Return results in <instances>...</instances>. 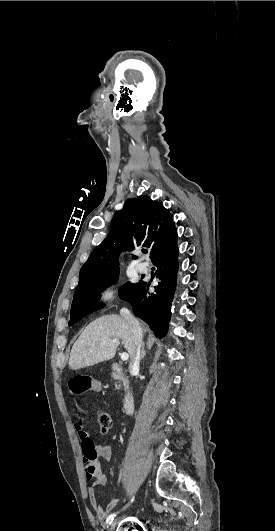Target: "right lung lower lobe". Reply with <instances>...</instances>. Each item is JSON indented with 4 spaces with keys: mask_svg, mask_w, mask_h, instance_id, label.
I'll use <instances>...</instances> for the list:
<instances>
[{
    "mask_svg": "<svg viewBox=\"0 0 275 531\" xmlns=\"http://www.w3.org/2000/svg\"><path fill=\"white\" fill-rule=\"evenodd\" d=\"M177 237L175 228L150 257L156 266L158 284L154 287L155 291H149L150 282L139 281L125 299L133 306L135 315L150 325L159 337L165 336L171 316L178 272Z\"/></svg>",
    "mask_w": 275,
    "mask_h": 531,
    "instance_id": "1",
    "label": "right lung lower lobe"
}]
</instances>
